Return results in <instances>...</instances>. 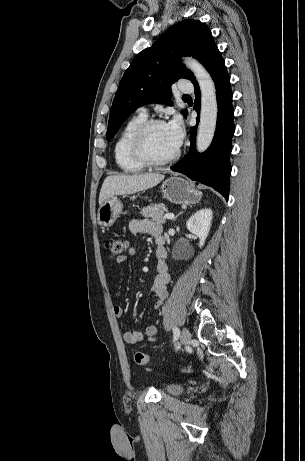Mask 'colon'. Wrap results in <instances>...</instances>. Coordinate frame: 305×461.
Wrapping results in <instances>:
<instances>
[{"label":"colon","instance_id":"1","mask_svg":"<svg viewBox=\"0 0 305 461\" xmlns=\"http://www.w3.org/2000/svg\"><path fill=\"white\" fill-rule=\"evenodd\" d=\"M127 242L123 239L109 238L105 241V248L113 257H120L126 250ZM134 360L138 365H150L152 359L142 351L134 352ZM179 371L185 374H191L194 369L191 366H181Z\"/></svg>","mask_w":305,"mask_h":461}]
</instances>
